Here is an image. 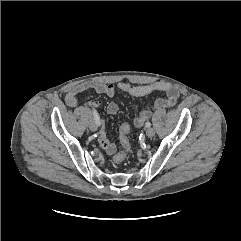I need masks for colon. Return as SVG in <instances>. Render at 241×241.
<instances>
[{
  "mask_svg": "<svg viewBox=\"0 0 241 241\" xmlns=\"http://www.w3.org/2000/svg\"><path fill=\"white\" fill-rule=\"evenodd\" d=\"M129 132L130 126L127 123L122 124L120 127V143L122 146V150H120L113 156V162L116 164L122 163L125 160L127 153L130 149Z\"/></svg>",
  "mask_w": 241,
  "mask_h": 241,
  "instance_id": "colon-1",
  "label": "colon"
}]
</instances>
